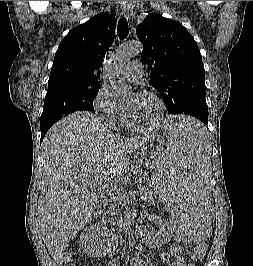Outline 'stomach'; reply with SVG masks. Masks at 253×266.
<instances>
[{
    "mask_svg": "<svg viewBox=\"0 0 253 266\" xmlns=\"http://www.w3.org/2000/svg\"><path fill=\"white\" fill-rule=\"evenodd\" d=\"M163 145H165V139L153 136L136 151V158L145 168H152L153 160H159L157 151L162 150Z\"/></svg>",
    "mask_w": 253,
    "mask_h": 266,
    "instance_id": "stomach-1",
    "label": "stomach"
}]
</instances>
